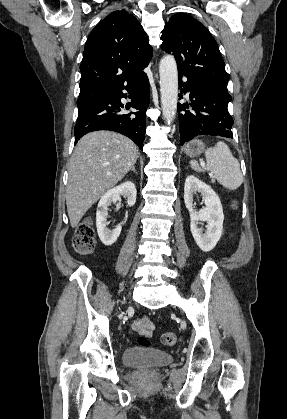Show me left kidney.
<instances>
[{"instance_id":"1","label":"left kidney","mask_w":287,"mask_h":419,"mask_svg":"<svg viewBox=\"0 0 287 419\" xmlns=\"http://www.w3.org/2000/svg\"><path fill=\"white\" fill-rule=\"evenodd\" d=\"M199 192L203 197L205 208L196 212L193 208V195ZM184 202L190 213V229L196 244L202 251L212 250L220 240L223 231V208L214 190L196 178L189 175L185 180ZM206 222V230L198 228L199 222Z\"/></svg>"}]
</instances>
